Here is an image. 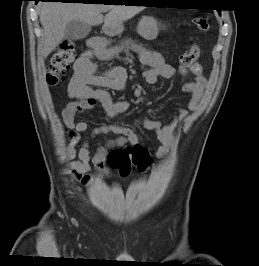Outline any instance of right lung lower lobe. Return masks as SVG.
<instances>
[{"mask_svg":"<svg viewBox=\"0 0 259 266\" xmlns=\"http://www.w3.org/2000/svg\"><path fill=\"white\" fill-rule=\"evenodd\" d=\"M36 3H38V1H61L62 3H64L65 1H69V0H34ZM86 3V2H83Z\"/></svg>","mask_w":259,"mask_h":266,"instance_id":"right-lung-lower-lobe-1","label":"right lung lower lobe"}]
</instances>
